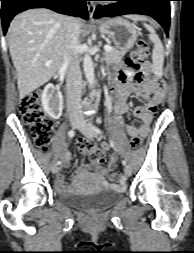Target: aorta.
Segmentation results:
<instances>
[{
    "label": "aorta",
    "instance_id": "762f6f07",
    "mask_svg": "<svg viewBox=\"0 0 194 253\" xmlns=\"http://www.w3.org/2000/svg\"><path fill=\"white\" fill-rule=\"evenodd\" d=\"M83 68L85 77L90 86L94 83V66L90 55L85 54L83 58Z\"/></svg>",
    "mask_w": 194,
    "mask_h": 253
}]
</instances>
